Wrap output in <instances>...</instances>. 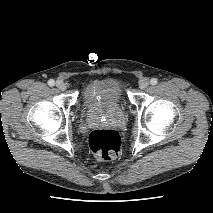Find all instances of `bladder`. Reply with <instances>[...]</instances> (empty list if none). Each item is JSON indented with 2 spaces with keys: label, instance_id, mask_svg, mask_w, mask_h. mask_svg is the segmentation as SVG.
I'll use <instances>...</instances> for the list:
<instances>
[{
  "label": "bladder",
  "instance_id": "31cf9c89",
  "mask_svg": "<svg viewBox=\"0 0 213 213\" xmlns=\"http://www.w3.org/2000/svg\"><path fill=\"white\" fill-rule=\"evenodd\" d=\"M124 89L120 80L103 78L87 84L82 92V103L88 111L108 110L121 105Z\"/></svg>",
  "mask_w": 213,
  "mask_h": 213
}]
</instances>
